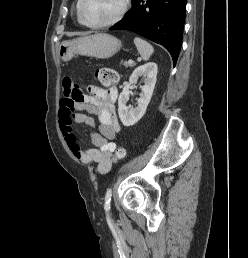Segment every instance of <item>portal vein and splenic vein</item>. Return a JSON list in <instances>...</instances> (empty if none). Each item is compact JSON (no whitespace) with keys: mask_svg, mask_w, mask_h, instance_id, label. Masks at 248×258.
I'll return each instance as SVG.
<instances>
[{"mask_svg":"<svg viewBox=\"0 0 248 258\" xmlns=\"http://www.w3.org/2000/svg\"><path fill=\"white\" fill-rule=\"evenodd\" d=\"M129 62H130V63H133V60L130 59Z\"/></svg>","mask_w":248,"mask_h":258,"instance_id":"1","label":"portal vein and splenic vein"}]
</instances>
